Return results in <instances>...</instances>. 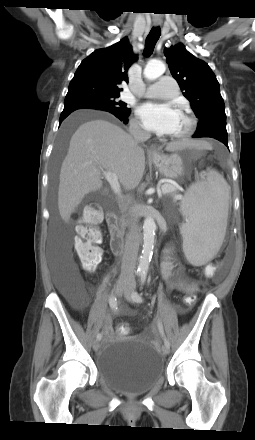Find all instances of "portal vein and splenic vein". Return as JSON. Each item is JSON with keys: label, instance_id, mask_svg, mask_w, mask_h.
I'll use <instances>...</instances> for the list:
<instances>
[{"label": "portal vein and splenic vein", "instance_id": "portal-vein-and-splenic-vein-1", "mask_svg": "<svg viewBox=\"0 0 255 440\" xmlns=\"http://www.w3.org/2000/svg\"><path fill=\"white\" fill-rule=\"evenodd\" d=\"M103 175L105 179L109 182L112 190L115 194L121 195V187L118 181V177L115 173L104 171ZM177 189V186L173 185H165L164 189H162L163 193H168ZM175 199H182V196H176Z\"/></svg>", "mask_w": 255, "mask_h": 440}]
</instances>
